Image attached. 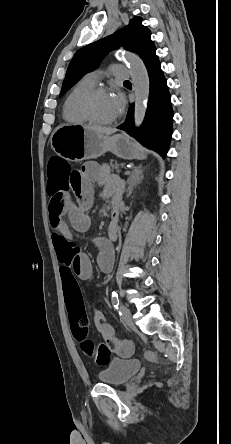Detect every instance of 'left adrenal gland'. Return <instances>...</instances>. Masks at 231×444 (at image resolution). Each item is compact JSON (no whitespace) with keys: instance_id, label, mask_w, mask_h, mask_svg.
Instances as JSON below:
<instances>
[{"instance_id":"left-adrenal-gland-1","label":"left adrenal gland","mask_w":231,"mask_h":444,"mask_svg":"<svg viewBox=\"0 0 231 444\" xmlns=\"http://www.w3.org/2000/svg\"><path fill=\"white\" fill-rule=\"evenodd\" d=\"M142 179H143V171L141 170V167H138L134 170V173H132L130 178L128 179L127 197L131 195L134 186L139 184Z\"/></svg>"}]
</instances>
